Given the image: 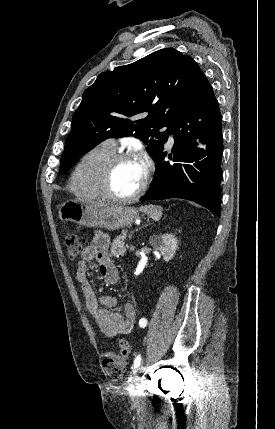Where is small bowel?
<instances>
[{
	"label": "small bowel",
	"mask_w": 275,
	"mask_h": 429,
	"mask_svg": "<svg viewBox=\"0 0 275 429\" xmlns=\"http://www.w3.org/2000/svg\"><path fill=\"white\" fill-rule=\"evenodd\" d=\"M110 239L103 232H97L90 245L82 252L81 260L77 264L76 280L80 285L85 298L86 308L107 339H113L119 335L129 334L136 324V307L131 302H126L122 311H113L116 299L110 295L97 297L90 283L87 271V263L96 261L100 274L107 284L114 285L118 281V271L109 258Z\"/></svg>",
	"instance_id": "1"
}]
</instances>
